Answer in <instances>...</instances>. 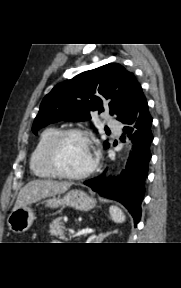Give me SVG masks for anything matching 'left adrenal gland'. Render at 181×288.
<instances>
[{"instance_id": "obj_1", "label": "left adrenal gland", "mask_w": 181, "mask_h": 288, "mask_svg": "<svg viewBox=\"0 0 181 288\" xmlns=\"http://www.w3.org/2000/svg\"><path fill=\"white\" fill-rule=\"evenodd\" d=\"M117 230L113 232H107L105 234L101 233L98 236H93L91 239L95 240V243H102L103 239H105L107 236H109L112 233H116Z\"/></svg>"}]
</instances>
